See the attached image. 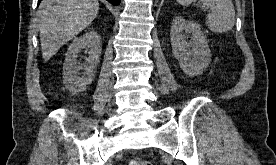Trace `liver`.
<instances>
[{
  "label": "liver",
  "mask_w": 276,
  "mask_h": 165,
  "mask_svg": "<svg viewBox=\"0 0 276 165\" xmlns=\"http://www.w3.org/2000/svg\"><path fill=\"white\" fill-rule=\"evenodd\" d=\"M98 10V0H43L38 13L44 61L90 25Z\"/></svg>",
  "instance_id": "obj_1"
}]
</instances>
